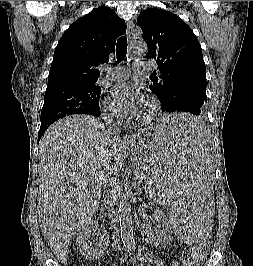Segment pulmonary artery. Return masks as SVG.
Masks as SVG:
<instances>
[{"label": "pulmonary artery", "instance_id": "obj_1", "mask_svg": "<svg viewBox=\"0 0 253 266\" xmlns=\"http://www.w3.org/2000/svg\"><path fill=\"white\" fill-rule=\"evenodd\" d=\"M151 69L150 63L145 60L137 61L133 66L135 72L148 71ZM106 71L108 72L109 78L114 81L125 80L131 74V69L127 67H107Z\"/></svg>", "mask_w": 253, "mask_h": 266}]
</instances>
